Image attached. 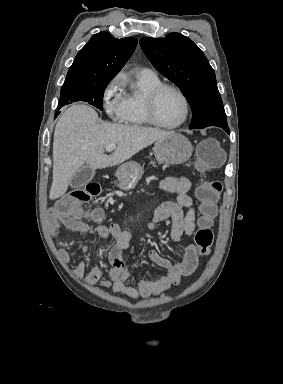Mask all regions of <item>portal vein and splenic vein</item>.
<instances>
[{
	"mask_svg": "<svg viewBox=\"0 0 283 384\" xmlns=\"http://www.w3.org/2000/svg\"><path fill=\"white\" fill-rule=\"evenodd\" d=\"M116 144H107L105 150L106 152H112V150H115Z\"/></svg>",
	"mask_w": 283,
	"mask_h": 384,
	"instance_id": "portal-vein-and-splenic-vein-1",
	"label": "portal vein and splenic vein"
}]
</instances>
